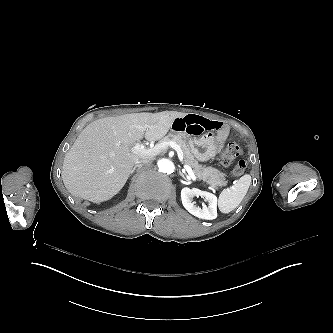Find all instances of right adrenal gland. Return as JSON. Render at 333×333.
<instances>
[{"label": "right adrenal gland", "mask_w": 333, "mask_h": 333, "mask_svg": "<svg viewBox=\"0 0 333 333\" xmlns=\"http://www.w3.org/2000/svg\"><path fill=\"white\" fill-rule=\"evenodd\" d=\"M136 168L137 166H134V168L131 170V174L135 171Z\"/></svg>", "instance_id": "obj_1"}]
</instances>
